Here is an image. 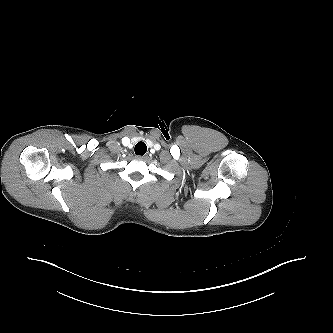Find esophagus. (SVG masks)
<instances>
[{
  "label": "esophagus",
  "mask_w": 333,
  "mask_h": 333,
  "mask_svg": "<svg viewBox=\"0 0 333 333\" xmlns=\"http://www.w3.org/2000/svg\"><path fill=\"white\" fill-rule=\"evenodd\" d=\"M137 158H138V159H146L147 156H146V155H143V156H140V155H139V156H137Z\"/></svg>",
  "instance_id": "esophagus-1"
}]
</instances>
